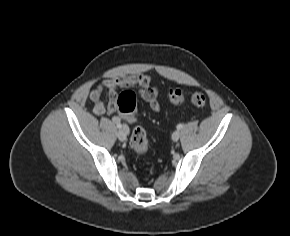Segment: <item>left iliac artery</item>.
<instances>
[{
	"mask_svg": "<svg viewBox=\"0 0 290 236\" xmlns=\"http://www.w3.org/2000/svg\"><path fill=\"white\" fill-rule=\"evenodd\" d=\"M182 127H183L182 124H178V125H177V129H181Z\"/></svg>",
	"mask_w": 290,
	"mask_h": 236,
	"instance_id": "1",
	"label": "left iliac artery"
}]
</instances>
